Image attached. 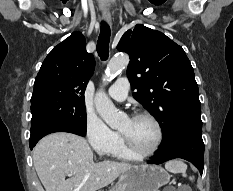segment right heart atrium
I'll list each match as a JSON object with an SVG mask.
<instances>
[{"instance_id": "right-heart-atrium-1", "label": "right heart atrium", "mask_w": 233, "mask_h": 191, "mask_svg": "<svg viewBox=\"0 0 233 191\" xmlns=\"http://www.w3.org/2000/svg\"><path fill=\"white\" fill-rule=\"evenodd\" d=\"M85 133L93 150L101 156L111 154L121 139L117 132L91 114L86 117Z\"/></svg>"}]
</instances>
